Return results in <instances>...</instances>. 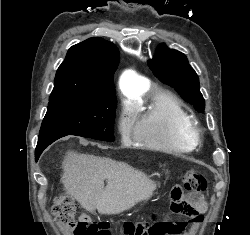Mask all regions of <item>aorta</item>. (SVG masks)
Listing matches in <instances>:
<instances>
[{"mask_svg":"<svg viewBox=\"0 0 250 235\" xmlns=\"http://www.w3.org/2000/svg\"><path fill=\"white\" fill-rule=\"evenodd\" d=\"M146 88H135V87H126L123 91L129 97H137L142 94Z\"/></svg>","mask_w":250,"mask_h":235,"instance_id":"1","label":"aorta"}]
</instances>
